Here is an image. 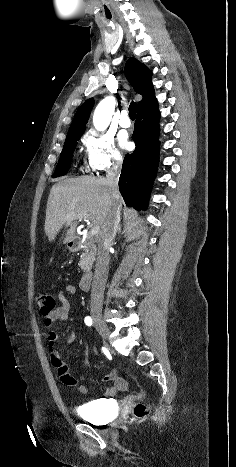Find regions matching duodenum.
<instances>
[{"label":"duodenum","mask_w":236,"mask_h":467,"mask_svg":"<svg viewBox=\"0 0 236 467\" xmlns=\"http://www.w3.org/2000/svg\"><path fill=\"white\" fill-rule=\"evenodd\" d=\"M69 247L72 251H78L81 248V239L73 238L69 241ZM93 274L91 271H86L80 278V288L82 291L87 292L92 286Z\"/></svg>","instance_id":"410a0bca"}]
</instances>
